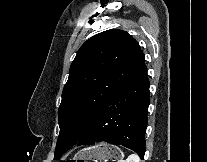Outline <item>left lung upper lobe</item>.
<instances>
[{
    "mask_svg": "<svg viewBox=\"0 0 207 162\" xmlns=\"http://www.w3.org/2000/svg\"><path fill=\"white\" fill-rule=\"evenodd\" d=\"M143 61L137 41L119 29L99 33L81 46L58 110L60 133L55 160L79 140L101 105Z\"/></svg>",
    "mask_w": 207,
    "mask_h": 162,
    "instance_id": "left-lung-upper-lobe-1",
    "label": "left lung upper lobe"
}]
</instances>
